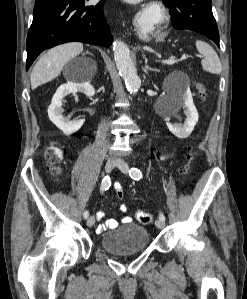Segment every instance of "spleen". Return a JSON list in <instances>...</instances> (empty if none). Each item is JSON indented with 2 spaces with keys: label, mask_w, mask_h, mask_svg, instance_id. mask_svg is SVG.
<instances>
[{
  "label": "spleen",
  "mask_w": 247,
  "mask_h": 299,
  "mask_svg": "<svg viewBox=\"0 0 247 299\" xmlns=\"http://www.w3.org/2000/svg\"><path fill=\"white\" fill-rule=\"evenodd\" d=\"M196 48L204 56L202 60L203 70L212 74H220L222 64L215 50L208 43L200 40L196 41Z\"/></svg>",
  "instance_id": "obj_1"
}]
</instances>
